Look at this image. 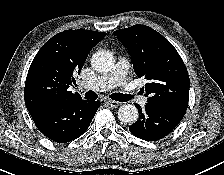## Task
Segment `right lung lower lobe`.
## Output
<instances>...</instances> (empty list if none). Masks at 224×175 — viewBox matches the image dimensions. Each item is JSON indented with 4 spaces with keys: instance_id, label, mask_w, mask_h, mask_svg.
Segmentation results:
<instances>
[{
    "instance_id": "1",
    "label": "right lung lower lobe",
    "mask_w": 224,
    "mask_h": 175,
    "mask_svg": "<svg viewBox=\"0 0 224 175\" xmlns=\"http://www.w3.org/2000/svg\"><path fill=\"white\" fill-rule=\"evenodd\" d=\"M100 101L79 99L45 104L29 110L36 127L49 139L65 143L82 135L89 127Z\"/></svg>"
}]
</instances>
